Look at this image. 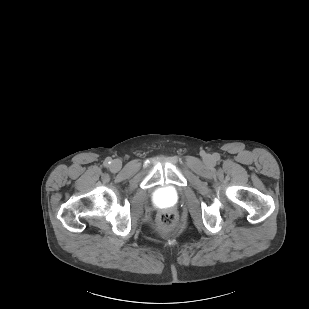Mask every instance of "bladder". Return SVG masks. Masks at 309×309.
Segmentation results:
<instances>
[{
  "label": "bladder",
  "instance_id": "obj_1",
  "mask_svg": "<svg viewBox=\"0 0 309 309\" xmlns=\"http://www.w3.org/2000/svg\"><path fill=\"white\" fill-rule=\"evenodd\" d=\"M176 199L177 196L167 189L159 191L156 195V202L159 204L174 201Z\"/></svg>",
  "mask_w": 309,
  "mask_h": 309
}]
</instances>
